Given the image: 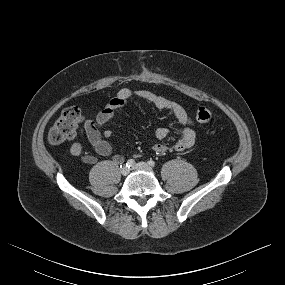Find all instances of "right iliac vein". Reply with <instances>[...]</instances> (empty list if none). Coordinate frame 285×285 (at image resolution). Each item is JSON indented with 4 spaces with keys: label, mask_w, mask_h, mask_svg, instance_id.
Listing matches in <instances>:
<instances>
[{
    "label": "right iliac vein",
    "mask_w": 285,
    "mask_h": 285,
    "mask_svg": "<svg viewBox=\"0 0 285 285\" xmlns=\"http://www.w3.org/2000/svg\"><path fill=\"white\" fill-rule=\"evenodd\" d=\"M129 171H130L129 168H127L126 166H123V168L121 169V174L123 176H126L128 175Z\"/></svg>",
    "instance_id": "1"
}]
</instances>
